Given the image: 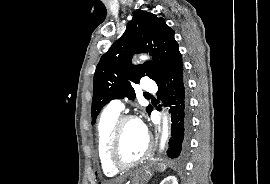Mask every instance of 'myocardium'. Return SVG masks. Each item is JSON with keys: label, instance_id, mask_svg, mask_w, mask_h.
Here are the masks:
<instances>
[{"label": "myocardium", "instance_id": "f54148a6", "mask_svg": "<svg viewBox=\"0 0 270 184\" xmlns=\"http://www.w3.org/2000/svg\"><path fill=\"white\" fill-rule=\"evenodd\" d=\"M130 121L140 122L139 119L134 115H124L118 118L117 122L114 125V128L111 133V137L108 145V160L110 164L118 169L124 170L131 168L141 162H143L151 153L153 142L151 137L147 134V146L144 153L137 158L136 160L125 162L122 161L119 157V148L122 137V131L126 123Z\"/></svg>", "mask_w": 270, "mask_h": 184}]
</instances>
